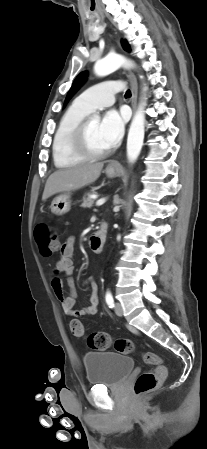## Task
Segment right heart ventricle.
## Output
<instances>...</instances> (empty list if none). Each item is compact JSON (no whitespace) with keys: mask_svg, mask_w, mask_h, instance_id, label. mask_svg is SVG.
I'll list each match as a JSON object with an SVG mask.
<instances>
[{"mask_svg":"<svg viewBox=\"0 0 207 449\" xmlns=\"http://www.w3.org/2000/svg\"><path fill=\"white\" fill-rule=\"evenodd\" d=\"M89 113L88 110L79 107L74 102L60 119L52 143V156L57 168H69L85 160L72 151L71 136L75 127L83 121Z\"/></svg>","mask_w":207,"mask_h":449,"instance_id":"obj_1","label":"right heart ventricle"}]
</instances>
